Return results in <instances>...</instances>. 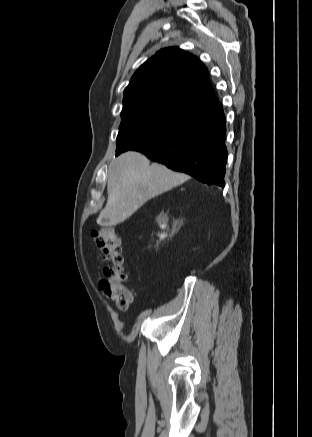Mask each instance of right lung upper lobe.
<instances>
[{
  "label": "right lung upper lobe",
  "instance_id": "cb5924a9",
  "mask_svg": "<svg viewBox=\"0 0 312 437\" xmlns=\"http://www.w3.org/2000/svg\"><path fill=\"white\" fill-rule=\"evenodd\" d=\"M217 102L207 68L192 54L170 47L134 73L124 90L123 108L163 103L199 113Z\"/></svg>",
  "mask_w": 312,
  "mask_h": 437
}]
</instances>
